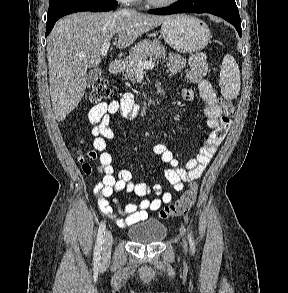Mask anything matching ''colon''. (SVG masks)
<instances>
[{"instance_id": "1", "label": "colon", "mask_w": 288, "mask_h": 293, "mask_svg": "<svg viewBox=\"0 0 288 293\" xmlns=\"http://www.w3.org/2000/svg\"><path fill=\"white\" fill-rule=\"evenodd\" d=\"M112 96L111 88L103 80H97L93 85L91 92V101L99 102L104 99L110 98ZM220 105L224 111V117L229 119L235 113V108L233 104L225 99H220ZM95 152L92 150L80 151V161L83 163V169L86 173H89L91 168L86 162L87 159L94 158ZM197 196V185L191 183L190 187L178 198L174 203L165 206L160 211V216L163 219H169L173 217H178L186 214L190 208L193 206Z\"/></svg>"}]
</instances>
